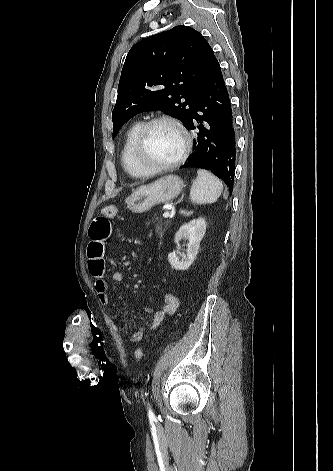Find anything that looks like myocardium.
<instances>
[{"label": "myocardium", "mask_w": 333, "mask_h": 471, "mask_svg": "<svg viewBox=\"0 0 333 471\" xmlns=\"http://www.w3.org/2000/svg\"><path fill=\"white\" fill-rule=\"evenodd\" d=\"M161 123L169 124L177 130L182 140V149L179 156L172 162L166 164H152L145 158L147 138L151 128ZM191 147V137L186 128L175 118L162 115L154 117L143 123L134 142L133 157L136 165L149 175L158 172L169 171L180 166L187 159L191 151Z\"/></svg>", "instance_id": "f54148a6"}]
</instances>
